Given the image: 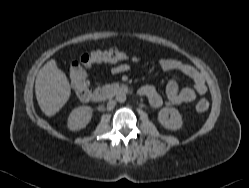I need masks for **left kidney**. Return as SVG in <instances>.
I'll list each match as a JSON object with an SVG mask.
<instances>
[{
  "instance_id": "1",
  "label": "left kidney",
  "mask_w": 249,
  "mask_h": 188,
  "mask_svg": "<svg viewBox=\"0 0 249 188\" xmlns=\"http://www.w3.org/2000/svg\"><path fill=\"white\" fill-rule=\"evenodd\" d=\"M158 121L164 128L170 130H178L183 125L182 116L175 108L161 109L158 113Z\"/></svg>"
}]
</instances>
